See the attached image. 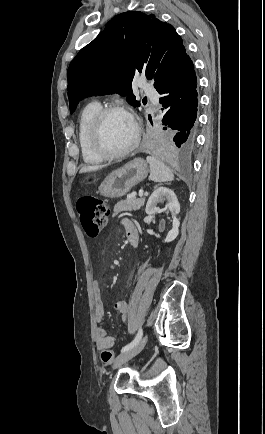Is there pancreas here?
Masks as SVG:
<instances>
[{
  "instance_id": "cf45deb5",
  "label": "pancreas",
  "mask_w": 265,
  "mask_h": 434,
  "mask_svg": "<svg viewBox=\"0 0 265 434\" xmlns=\"http://www.w3.org/2000/svg\"><path fill=\"white\" fill-rule=\"evenodd\" d=\"M145 198H127V200H120L116 206H114V214L116 216L118 212H132V210H140L144 206Z\"/></svg>"
}]
</instances>
